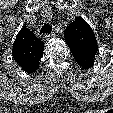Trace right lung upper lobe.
<instances>
[{"label":"right lung upper lobe","mask_w":113,"mask_h":113,"mask_svg":"<svg viewBox=\"0 0 113 113\" xmlns=\"http://www.w3.org/2000/svg\"><path fill=\"white\" fill-rule=\"evenodd\" d=\"M44 42L32 31L22 28L13 44L12 55L21 68L28 73L35 72L43 57Z\"/></svg>","instance_id":"cb5924a9"}]
</instances>
